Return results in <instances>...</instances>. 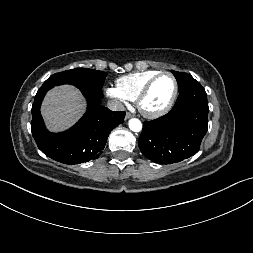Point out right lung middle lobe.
I'll list each match as a JSON object with an SVG mask.
<instances>
[{
	"instance_id": "1",
	"label": "right lung middle lobe",
	"mask_w": 253,
	"mask_h": 253,
	"mask_svg": "<svg viewBox=\"0 0 253 253\" xmlns=\"http://www.w3.org/2000/svg\"><path fill=\"white\" fill-rule=\"evenodd\" d=\"M106 76L107 74L103 71L76 68L50 76L43 85L53 87L61 84H72L79 88L82 93L102 98V86Z\"/></svg>"
}]
</instances>
